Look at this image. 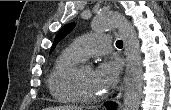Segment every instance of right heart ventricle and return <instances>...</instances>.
I'll return each mask as SVG.
<instances>
[{"mask_svg":"<svg viewBox=\"0 0 171 110\" xmlns=\"http://www.w3.org/2000/svg\"><path fill=\"white\" fill-rule=\"evenodd\" d=\"M83 59L72 45L64 49L55 59L47 79V85L56 101L61 103H74L77 101L66 87L65 76L72 67Z\"/></svg>","mask_w":171,"mask_h":110,"instance_id":"1","label":"right heart ventricle"}]
</instances>
